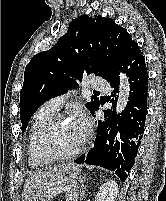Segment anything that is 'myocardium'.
<instances>
[{
  "label": "myocardium",
  "instance_id": "1",
  "mask_svg": "<svg viewBox=\"0 0 166 201\" xmlns=\"http://www.w3.org/2000/svg\"><path fill=\"white\" fill-rule=\"evenodd\" d=\"M62 121H65L64 116L54 115L39 127L34 145L35 155L39 162L68 160L76 157L83 150L84 142L77 149L69 153H58L48 145V138L51 131Z\"/></svg>",
  "mask_w": 166,
  "mask_h": 201
}]
</instances>
